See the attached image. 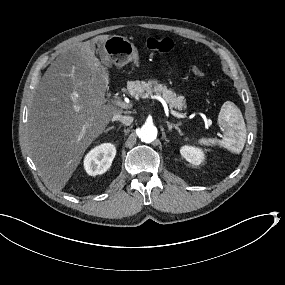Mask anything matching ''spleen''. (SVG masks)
<instances>
[{"mask_svg": "<svg viewBox=\"0 0 285 285\" xmlns=\"http://www.w3.org/2000/svg\"><path fill=\"white\" fill-rule=\"evenodd\" d=\"M245 141H246V128L243 127L241 129V131L239 132V150L241 151L244 144H245ZM199 143L201 144H209L210 143V140L206 139V138H202L199 140Z\"/></svg>", "mask_w": 285, "mask_h": 285, "instance_id": "spleen-1", "label": "spleen"}]
</instances>
